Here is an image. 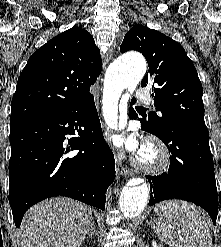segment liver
I'll use <instances>...</instances> for the list:
<instances>
[{"label": "liver", "mask_w": 221, "mask_h": 247, "mask_svg": "<svg viewBox=\"0 0 221 247\" xmlns=\"http://www.w3.org/2000/svg\"><path fill=\"white\" fill-rule=\"evenodd\" d=\"M92 212L70 198L44 200L24 215L19 230L21 247H80L91 226Z\"/></svg>", "instance_id": "liver-1"}]
</instances>
